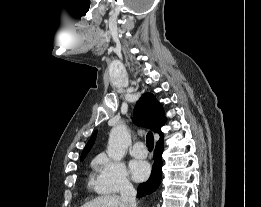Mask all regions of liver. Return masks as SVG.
<instances>
[{
    "label": "liver",
    "mask_w": 261,
    "mask_h": 207,
    "mask_svg": "<svg viewBox=\"0 0 261 207\" xmlns=\"http://www.w3.org/2000/svg\"><path fill=\"white\" fill-rule=\"evenodd\" d=\"M81 207H129V203L122 200L120 196L113 194L99 196Z\"/></svg>",
    "instance_id": "6515ba94"
}]
</instances>
